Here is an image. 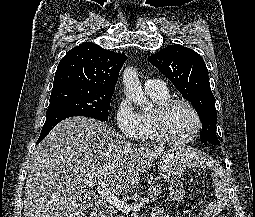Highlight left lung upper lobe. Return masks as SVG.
I'll use <instances>...</instances> for the list:
<instances>
[{
	"label": "left lung upper lobe",
	"mask_w": 255,
	"mask_h": 217,
	"mask_svg": "<svg viewBox=\"0 0 255 217\" xmlns=\"http://www.w3.org/2000/svg\"><path fill=\"white\" fill-rule=\"evenodd\" d=\"M148 60L195 107L203 124L201 142L220 146L216 135L217 112L214 96L203 58L187 47L170 45L149 56Z\"/></svg>",
	"instance_id": "left-lung-upper-lobe-1"
}]
</instances>
